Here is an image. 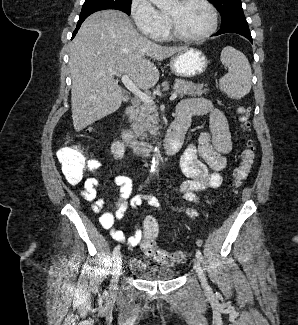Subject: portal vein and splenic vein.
Listing matches in <instances>:
<instances>
[{"label":"portal vein and splenic vein","instance_id":"portal-vein-and-splenic-vein-1","mask_svg":"<svg viewBox=\"0 0 298 325\" xmlns=\"http://www.w3.org/2000/svg\"><path fill=\"white\" fill-rule=\"evenodd\" d=\"M116 76H119L121 78L123 84H125L126 88L128 90H131L135 96H138L142 102H148V104H154V98L152 96H149V94H146V92H142L134 82H132L131 78H129L128 74H118V72H115ZM178 92L175 90V92H172L171 96H169V100H175L177 98Z\"/></svg>","mask_w":298,"mask_h":325}]
</instances>
